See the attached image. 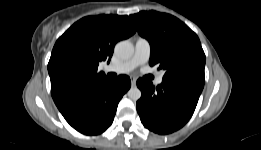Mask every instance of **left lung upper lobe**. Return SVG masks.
<instances>
[{"mask_svg": "<svg viewBox=\"0 0 261 150\" xmlns=\"http://www.w3.org/2000/svg\"><path fill=\"white\" fill-rule=\"evenodd\" d=\"M130 18L149 41L150 65L164 70L163 78L191 76L204 81L205 54L198 36L187 25L156 11H141Z\"/></svg>", "mask_w": 261, "mask_h": 150, "instance_id": "1", "label": "left lung upper lobe"}]
</instances>
